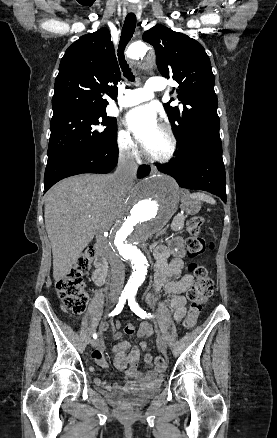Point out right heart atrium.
I'll return each mask as SVG.
<instances>
[{"mask_svg": "<svg viewBox=\"0 0 277 438\" xmlns=\"http://www.w3.org/2000/svg\"><path fill=\"white\" fill-rule=\"evenodd\" d=\"M117 144L120 153L124 156H131L134 154L136 144L127 130L123 128L119 129L117 134Z\"/></svg>", "mask_w": 277, "mask_h": 438, "instance_id": "right-heart-atrium-1", "label": "right heart atrium"}]
</instances>
